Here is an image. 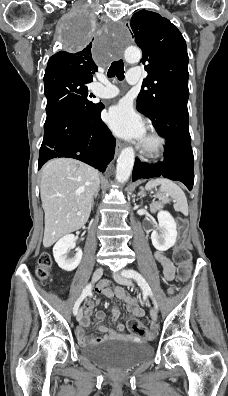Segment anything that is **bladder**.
I'll use <instances>...</instances> for the list:
<instances>
[{"mask_svg": "<svg viewBox=\"0 0 228 396\" xmlns=\"http://www.w3.org/2000/svg\"><path fill=\"white\" fill-rule=\"evenodd\" d=\"M153 347L146 343L123 339H106L82 347V357L109 370H129L150 360Z\"/></svg>", "mask_w": 228, "mask_h": 396, "instance_id": "bladder-1", "label": "bladder"}]
</instances>
